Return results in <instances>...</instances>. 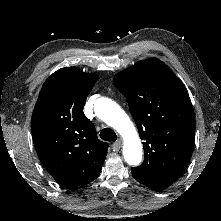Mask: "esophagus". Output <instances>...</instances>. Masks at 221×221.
<instances>
[{"label": "esophagus", "mask_w": 221, "mask_h": 221, "mask_svg": "<svg viewBox=\"0 0 221 221\" xmlns=\"http://www.w3.org/2000/svg\"><path fill=\"white\" fill-rule=\"evenodd\" d=\"M122 145L121 140H117L112 144L113 151H119L120 147Z\"/></svg>", "instance_id": "obj_1"}]
</instances>
